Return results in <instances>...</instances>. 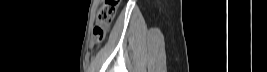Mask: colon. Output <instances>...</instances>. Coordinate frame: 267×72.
<instances>
[{
  "label": "colon",
  "instance_id": "1",
  "mask_svg": "<svg viewBox=\"0 0 267 72\" xmlns=\"http://www.w3.org/2000/svg\"><path fill=\"white\" fill-rule=\"evenodd\" d=\"M119 0H105L98 8L96 24L92 31L94 42H101L108 28L110 27L117 10Z\"/></svg>",
  "mask_w": 267,
  "mask_h": 72
}]
</instances>
